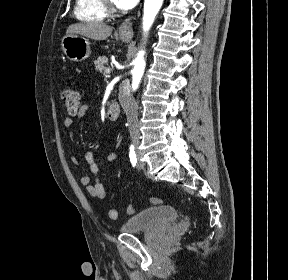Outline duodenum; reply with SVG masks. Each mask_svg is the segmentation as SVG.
Here are the masks:
<instances>
[{"label":"duodenum","mask_w":288,"mask_h":280,"mask_svg":"<svg viewBox=\"0 0 288 280\" xmlns=\"http://www.w3.org/2000/svg\"><path fill=\"white\" fill-rule=\"evenodd\" d=\"M107 117L110 121H116L120 115V106L118 103L113 102L107 108Z\"/></svg>","instance_id":"410a0bca"}]
</instances>
